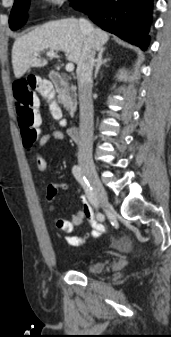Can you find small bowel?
Returning <instances> with one entry per match:
<instances>
[{
    "label": "small bowel",
    "mask_w": 171,
    "mask_h": 337,
    "mask_svg": "<svg viewBox=\"0 0 171 337\" xmlns=\"http://www.w3.org/2000/svg\"><path fill=\"white\" fill-rule=\"evenodd\" d=\"M65 138V134L60 130H54L50 133L44 134L40 137L38 142L37 154H36V167L39 172H45L48 168L47 160L43 154L45 146L51 141H62ZM70 182H59L49 184L46 191V199L52 203L55 200L56 195L60 191H66L71 187ZM82 202V209L72 214L70 219H64L61 217L53 216V224L55 229L67 235L65 241L70 246H80L85 244L90 239L98 238L104 231V226L95 220L94 211L89 201L84 195H80ZM50 211H54V206H50ZM87 221L91 226V231L83 236H71L69 235L73 229L83 222Z\"/></svg>",
    "instance_id": "small-bowel-1"
}]
</instances>
